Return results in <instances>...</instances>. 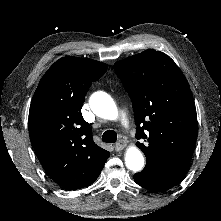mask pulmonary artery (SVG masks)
Returning a JSON list of instances; mask_svg holds the SVG:
<instances>
[{
  "mask_svg": "<svg viewBox=\"0 0 221 221\" xmlns=\"http://www.w3.org/2000/svg\"><path fill=\"white\" fill-rule=\"evenodd\" d=\"M121 119H122L123 122L127 121L126 120V116H125V114L123 112H121Z\"/></svg>",
  "mask_w": 221,
  "mask_h": 221,
  "instance_id": "pulmonary-artery-1",
  "label": "pulmonary artery"
}]
</instances>
